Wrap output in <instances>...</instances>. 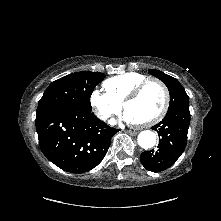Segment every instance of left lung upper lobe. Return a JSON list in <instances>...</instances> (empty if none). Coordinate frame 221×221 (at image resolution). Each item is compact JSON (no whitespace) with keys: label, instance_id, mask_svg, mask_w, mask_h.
Masks as SVG:
<instances>
[{"label":"left lung upper lobe","instance_id":"5c2ea615","mask_svg":"<svg viewBox=\"0 0 221 221\" xmlns=\"http://www.w3.org/2000/svg\"><path fill=\"white\" fill-rule=\"evenodd\" d=\"M149 73L159 78L168 87L170 93L169 110L177 107H189V97L176 78L155 69L149 70Z\"/></svg>","mask_w":221,"mask_h":221}]
</instances>
